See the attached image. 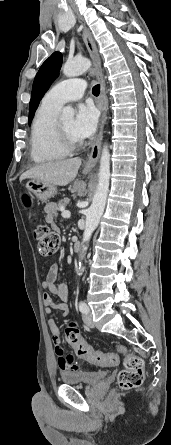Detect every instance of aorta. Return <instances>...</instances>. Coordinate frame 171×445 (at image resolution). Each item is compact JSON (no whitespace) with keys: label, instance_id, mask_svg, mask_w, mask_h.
Instances as JSON below:
<instances>
[{"label":"aorta","instance_id":"1","mask_svg":"<svg viewBox=\"0 0 171 445\" xmlns=\"http://www.w3.org/2000/svg\"><path fill=\"white\" fill-rule=\"evenodd\" d=\"M91 67V61L87 58H77L65 63L63 66V74L67 77H75L83 74ZM74 117V110L70 107L63 109L61 118L69 119ZM110 184V153L107 144L102 148L100 158V168L98 175V185L96 188L93 201L86 214L85 230L83 233L82 253L87 250V243L89 242L92 233L97 228L100 218L104 212L107 195ZM80 274L84 271L81 263H79Z\"/></svg>","mask_w":171,"mask_h":445}]
</instances>
